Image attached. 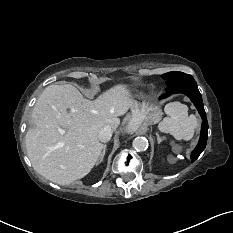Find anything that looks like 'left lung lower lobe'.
<instances>
[{
	"instance_id": "obj_1",
	"label": "left lung lower lobe",
	"mask_w": 233,
	"mask_h": 233,
	"mask_svg": "<svg viewBox=\"0 0 233 233\" xmlns=\"http://www.w3.org/2000/svg\"><path fill=\"white\" fill-rule=\"evenodd\" d=\"M175 93L186 94L198 109V112L203 120L198 145L191 154V160L194 162L199 157L201 152L205 149L207 143L208 122L206 119V112L204 110L202 96L198 90L196 82H187L168 89L167 92L163 94L160 98L163 99Z\"/></svg>"
}]
</instances>
